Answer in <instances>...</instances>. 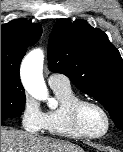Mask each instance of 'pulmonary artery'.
Segmentation results:
<instances>
[{
	"instance_id": "1",
	"label": "pulmonary artery",
	"mask_w": 123,
	"mask_h": 152,
	"mask_svg": "<svg viewBox=\"0 0 123 152\" xmlns=\"http://www.w3.org/2000/svg\"><path fill=\"white\" fill-rule=\"evenodd\" d=\"M48 84L51 88H58L63 87L67 88L70 87V80L67 76L60 74V73H52L48 77Z\"/></svg>"
}]
</instances>
